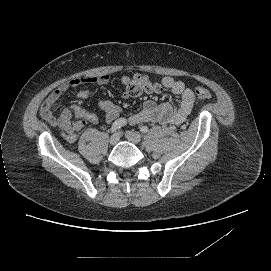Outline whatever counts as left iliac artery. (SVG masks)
I'll return each mask as SVG.
<instances>
[{"mask_svg": "<svg viewBox=\"0 0 271 271\" xmlns=\"http://www.w3.org/2000/svg\"><path fill=\"white\" fill-rule=\"evenodd\" d=\"M140 131H141V133H147V132L149 131V129H148L147 126H142V127L140 128Z\"/></svg>", "mask_w": 271, "mask_h": 271, "instance_id": "left-iliac-artery-1", "label": "left iliac artery"}]
</instances>
